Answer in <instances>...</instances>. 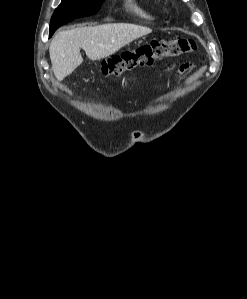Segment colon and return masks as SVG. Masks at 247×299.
Returning a JSON list of instances; mask_svg holds the SVG:
<instances>
[{"instance_id": "5ec220e1", "label": "colon", "mask_w": 247, "mask_h": 299, "mask_svg": "<svg viewBox=\"0 0 247 299\" xmlns=\"http://www.w3.org/2000/svg\"><path fill=\"white\" fill-rule=\"evenodd\" d=\"M196 50L197 44L191 38L153 39L134 50L111 56L103 61L101 72L105 76L121 75L139 67L150 66L156 61L193 53Z\"/></svg>"}]
</instances>
